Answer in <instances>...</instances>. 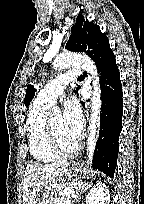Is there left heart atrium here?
Listing matches in <instances>:
<instances>
[{
    "label": "left heart atrium",
    "mask_w": 144,
    "mask_h": 204,
    "mask_svg": "<svg viewBox=\"0 0 144 204\" xmlns=\"http://www.w3.org/2000/svg\"><path fill=\"white\" fill-rule=\"evenodd\" d=\"M63 122L68 134L78 139L83 127L82 109L75 99H69L64 103Z\"/></svg>",
    "instance_id": "left-heart-atrium-1"
}]
</instances>
